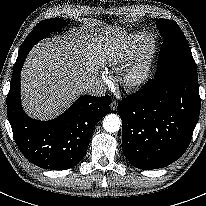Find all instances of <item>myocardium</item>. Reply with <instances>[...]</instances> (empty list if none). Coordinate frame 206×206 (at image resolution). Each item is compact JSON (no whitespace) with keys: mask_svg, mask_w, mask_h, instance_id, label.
<instances>
[{"mask_svg":"<svg viewBox=\"0 0 206 206\" xmlns=\"http://www.w3.org/2000/svg\"><path fill=\"white\" fill-rule=\"evenodd\" d=\"M157 52V41L153 36H146L138 52L122 70L121 80L128 90H137L144 86L152 73Z\"/></svg>","mask_w":206,"mask_h":206,"instance_id":"obj_1","label":"myocardium"}]
</instances>
